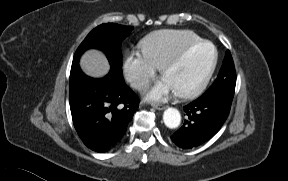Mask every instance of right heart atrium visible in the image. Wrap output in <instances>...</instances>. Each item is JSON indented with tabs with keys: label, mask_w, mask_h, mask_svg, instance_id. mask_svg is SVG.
Instances as JSON below:
<instances>
[{
	"label": "right heart atrium",
	"mask_w": 288,
	"mask_h": 181,
	"mask_svg": "<svg viewBox=\"0 0 288 181\" xmlns=\"http://www.w3.org/2000/svg\"><path fill=\"white\" fill-rule=\"evenodd\" d=\"M157 69L142 50H131L125 54L123 61L125 77L138 90L144 89L149 84Z\"/></svg>",
	"instance_id": "right-heart-atrium-1"
}]
</instances>
